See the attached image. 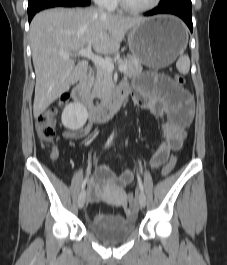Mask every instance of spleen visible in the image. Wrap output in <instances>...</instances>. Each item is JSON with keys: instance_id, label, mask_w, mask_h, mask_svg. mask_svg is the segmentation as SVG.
Segmentation results:
<instances>
[{"instance_id": "spleen-1", "label": "spleen", "mask_w": 227, "mask_h": 265, "mask_svg": "<svg viewBox=\"0 0 227 265\" xmlns=\"http://www.w3.org/2000/svg\"><path fill=\"white\" fill-rule=\"evenodd\" d=\"M176 67L181 74H188L190 69L189 56L187 54H181L178 61L176 62Z\"/></svg>"}]
</instances>
